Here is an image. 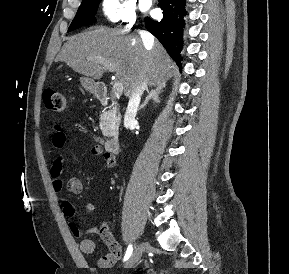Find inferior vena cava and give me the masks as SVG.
Segmentation results:
<instances>
[{
    "instance_id": "602c4592",
    "label": "inferior vena cava",
    "mask_w": 289,
    "mask_h": 274,
    "mask_svg": "<svg viewBox=\"0 0 289 274\" xmlns=\"http://www.w3.org/2000/svg\"><path fill=\"white\" fill-rule=\"evenodd\" d=\"M139 34L145 47L153 44L154 38L151 34L145 31H140ZM146 89H147V82H143L140 88H138L130 97L126 113L124 116V126L126 128L129 127L130 124L135 121V117L141 100V95Z\"/></svg>"
}]
</instances>
